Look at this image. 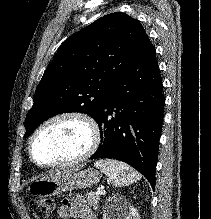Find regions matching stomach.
<instances>
[{
	"label": "stomach",
	"mask_w": 211,
	"mask_h": 219,
	"mask_svg": "<svg viewBox=\"0 0 211 219\" xmlns=\"http://www.w3.org/2000/svg\"><path fill=\"white\" fill-rule=\"evenodd\" d=\"M99 180L100 174L94 169L66 170L32 182L28 190L39 197H50L75 189L92 187Z\"/></svg>",
	"instance_id": "stomach-1"
}]
</instances>
